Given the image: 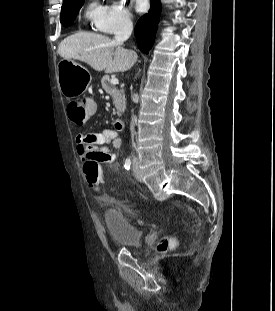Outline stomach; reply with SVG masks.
Returning a JSON list of instances; mask_svg holds the SVG:
<instances>
[{"label": "stomach", "mask_w": 275, "mask_h": 311, "mask_svg": "<svg viewBox=\"0 0 275 311\" xmlns=\"http://www.w3.org/2000/svg\"><path fill=\"white\" fill-rule=\"evenodd\" d=\"M57 77L61 93L69 98L83 94L92 79L86 68L71 59H62L59 62Z\"/></svg>", "instance_id": "1"}]
</instances>
